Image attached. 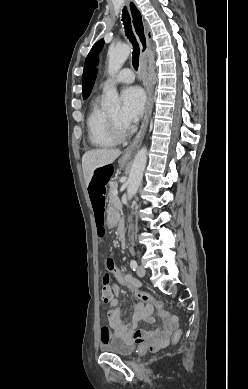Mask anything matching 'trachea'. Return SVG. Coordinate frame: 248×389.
Segmentation results:
<instances>
[{"mask_svg": "<svg viewBox=\"0 0 248 389\" xmlns=\"http://www.w3.org/2000/svg\"><path fill=\"white\" fill-rule=\"evenodd\" d=\"M122 21L124 24L126 36L128 37V39L130 40V42L133 45L132 64H133L134 69L137 70L138 66H139L140 49H139V45L136 41V38L132 32L131 19H130L129 13L127 12L126 7L123 8Z\"/></svg>", "mask_w": 248, "mask_h": 389, "instance_id": "obj_1", "label": "trachea"}]
</instances>
